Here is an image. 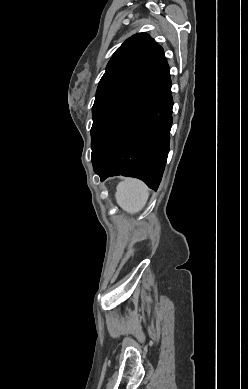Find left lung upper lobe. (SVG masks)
<instances>
[{"label":"left lung upper lobe","mask_w":248,"mask_h":389,"mask_svg":"<svg viewBox=\"0 0 248 389\" xmlns=\"http://www.w3.org/2000/svg\"><path fill=\"white\" fill-rule=\"evenodd\" d=\"M162 47L148 34L138 33L127 39L113 54L102 76L92 108L93 122L120 94L128 89L162 54ZM92 133V152L104 144Z\"/></svg>","instance_id":"obj_1"}]
</instances>
